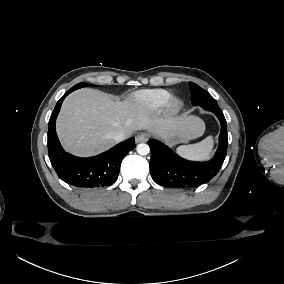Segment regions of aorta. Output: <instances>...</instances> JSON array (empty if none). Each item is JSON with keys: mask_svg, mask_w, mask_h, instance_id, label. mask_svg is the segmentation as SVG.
Listing matches in <instances>:
<instances>
[{"mask_svg": "<svg viewBox=\"0 0 284 284\" xmlns=\"http://www.w3.org/2000/svg\"><path fill=\"white\" fill-rule=\"evenodd\" d=\"M149 152H150V147L148 144L140 143L137 145V153L139 155L145 156L149 154Z\"/></svg>", "mask_w": 284, "mask_h": 284, "instance_id": "1", "label": "aorta"}]
</instances>
